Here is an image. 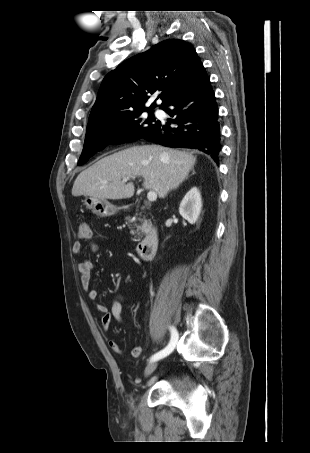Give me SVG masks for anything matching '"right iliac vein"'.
Returning a JSON list of instances; mask_svg holds the SVG:
<instances>
[{"instance_id": "right-iliac-vein-1", "label": "right iliac vein", "mask_w": 310, "mask_h": 453, "mask_svg": "<svg viewBox=\"0 0 310 453\" xmlns=\"http://www.w3.org/2000/svg\"><path fill=\"white\" fill-rule=\"evenodd\" d=\"M156 368H157L156 362L149 363L144 370L145 377L150 376L156 370Z\"/></svg>"}]
</instances>
